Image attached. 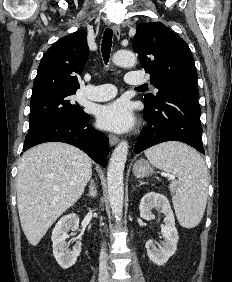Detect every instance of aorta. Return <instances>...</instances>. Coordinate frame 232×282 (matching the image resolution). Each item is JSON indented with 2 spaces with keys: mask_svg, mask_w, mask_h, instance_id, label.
<instances>
[{
  "mask_svg": "<svg viewBox=\"0 0 232 282\" xmlns=\"http://www.w3.org/2000/svg\"><path fill=\"white\" fill-rule=\"evenodd\" d=\"M113 63L120 67H132L136 63V56L132 51L119 50L113 55ZM129 145L123 140L114 149L107 171L108 196L112 213L116 220L123 214L124 183L123 174L127 160Z\"/></svg>",
  "mask_w": 232,
  "mask_h": 282,
  "instance_id": "obj_1",
  "label": "aorta"
}]
</instances>
